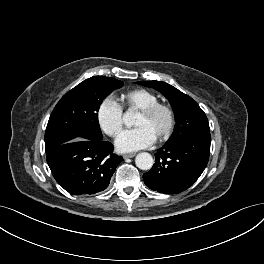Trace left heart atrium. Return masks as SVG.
Wrapping results in <instances>:
<instances>
[{
	"label": "left heart atrium",
	"mask_w": 264,
	"mask_h": 264,
	"mask_svg": "<svg viewBox=\"0 0 264 264\" xmlns=\"http://www.w3.org/2000/svg\"><path fill=\"white\" fill-rule=\"evenodd\" d=\"M156 137L145 127L124 131L116 141L120 152H134L148 148L154 144Z\"/></svg>",
	"instance_id": "39dd6f15"
}]
</instances>
